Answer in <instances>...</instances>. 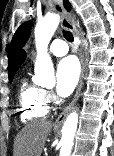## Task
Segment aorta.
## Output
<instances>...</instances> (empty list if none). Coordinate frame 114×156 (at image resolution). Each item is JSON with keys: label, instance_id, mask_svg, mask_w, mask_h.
Returning a JSON list of instances; mask_svg holds the SVG:
<instances>
[{"label": "aorta", "instance_id": "1", "mask_svg": "<svg viewBox=\"0 0 114 156\" xmlns=\"http://www.w3.org/2000/svg\"><path fill=\"white\" fill-rule=\"evenodd\" d=\"M59 25V16L50 14L39 21L35 27L37 58L35 62V83L48 85L55 82L54 69L47 52L48 44ZM78 124V114L74 111L66 118L62 128L60 156H70L73 139Z\"/></svg>", "mask_w": 114, "mask_h": 156}]
</instances>
